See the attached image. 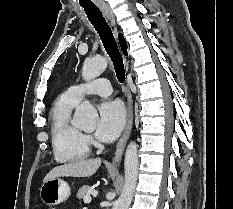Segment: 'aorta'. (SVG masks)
Segmentation results:
<instances>
[{
  "mask_svg": "<svg viewBox=\"0 0 233 209\" xmlns=\"http://www.w3.org/2000/svg\"><path fill=\"white\" fill-rule=\"evenodd\" d=\"M107 67L104 57L86 59L82 68L84 80L98 77ZM97 111L89 101H84L75 111L72 124L83 130H93L96 125ZM138 149L135 142L129 143L125 152V182L121 196L112 209H129L138 178Z\"/></svg>",
  "mask_w": 233,
  "mask_h": 209,
  "instance_id": "aorta-1",
  "label": "aorta"
}]
</instances>
